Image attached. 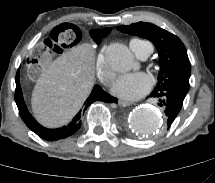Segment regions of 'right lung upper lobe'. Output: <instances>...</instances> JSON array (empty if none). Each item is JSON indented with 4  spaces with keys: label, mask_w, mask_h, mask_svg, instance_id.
I'll list each match as a JSON object with an SVG mask.
<instances>
[{
    "label": "right lung upper lobe",
    "mask_w": 215,
    "mask_h": 183,
    "mask_svg": "<svg viewBox=\"0 0 215 183\" xmlns=\"http://www.w3.org/2000/svg\"><path fill=\"white\" fill-rule=\"evenodd\" d=\"M104 30H109V31H111V29L110 28H105ZM110 33V32H109Z\"/></svg>",
    "instance_id": "obj_1"
}]
</instances>
